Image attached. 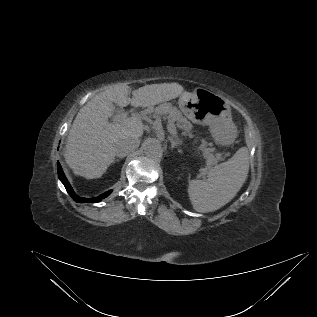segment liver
I'll return each instance as SVG.
<instances>
[{"label": "liver", "instance_id": "6515ba94", "mask_svg": "<svg viewBox=\"0 0 317 317\" xmlns=\"http://www.w3.org/2000/svg\"><path fill=\"white\" fill-rule=\"evenodd\" d=\"M184 88L178 83L145 85L132 91L125 84L107 89L88 101L78 112L65 148V160L77 175L87 179L101 177L113 163L115 144L125 138L138 139L143 135L139 118H125L109 122L114 103L120 107H153L179 97Z\"/></svg>", "mask_w": 317, "mask_h": 317}]
</instances>
